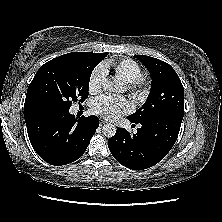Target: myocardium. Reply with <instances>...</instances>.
<instances>
[{
  "label": "myocardium",
  "mask_w": 222,
  "mask_h": 222,
  "mask_svg": "<svg viewBox=\"0 0 222 222\" xmlns=\"http://www.w3.org/2000/svg\"><path fill=\"white\" fill-rule=\"evenodd\" d=\"M126 89L135 101H141L149 92L150 82L146 78L139 77L136 81L126 84Z\"/></svg>",
  "instance_id": "1"
}]
</instances>
